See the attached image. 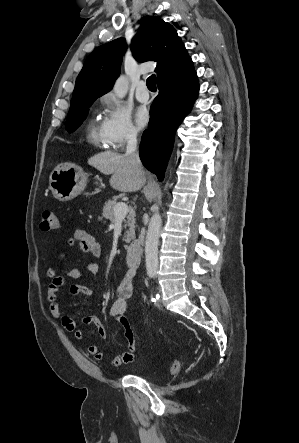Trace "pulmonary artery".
Instances as JSON below:
<instances>
[{
  "mask_svg": "<svg viewBox=\"0 0 299 443\" xmlns=\"http://www.w3.org/2000/svg\"><path fill=\"white\" fill-rule=\"evenodd\" d=\"M136 98L139 102H147L149 100V93L147 91V86L144 81H141L136 90Z\"/></svg>",
  "mask_w": 299,
  "mask_h": 443,
  "instance_id": "1",
  "label": "pulmonary artery"
}]
</instances>
